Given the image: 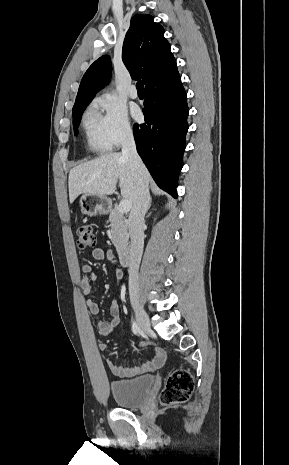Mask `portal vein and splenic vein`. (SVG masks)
<instances>
[{"label":"portal vein and splenic vein","mask_w":289,"mask_h":465,"mask_svg":"<svg viewBox=\"0 0 289 465\" xmlns=\"http://www.w3.org/2000/svg\"><path fill=\"white\" fill-rule=\"evenodd\" d=\"M131 209V203L128 200H122L118 206V212L121 214L129 212Z\"/></svg>","instance_id":"1"}]
</instances>
